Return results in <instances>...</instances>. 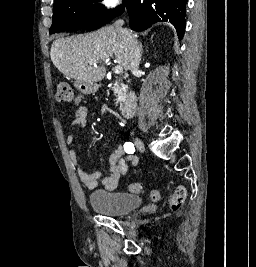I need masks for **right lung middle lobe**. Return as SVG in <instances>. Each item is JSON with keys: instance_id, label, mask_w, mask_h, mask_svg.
Here are the masks:
<instances>
[{"instance_id": "right-lung-middle-lobe-1", "label": "right lung middle lobe", "mask_w": 256, "mask_h": 267, "mask_svg": "<svg viewBox=\"0 0 256 267\" xmlns=\"http://www.w3.org/2000/svg\"><path fill=\"white\" fill-rule=\"evenodd\" d=\"M101 0H57L53 7V23L49 30L51 34L60 31L77 29L94 30L109 23L124 12V6L130 0H124L123 5L113 10H107L101 4H93Z\"/></svg>"}]
</instances>
